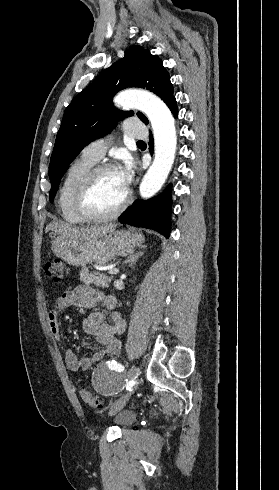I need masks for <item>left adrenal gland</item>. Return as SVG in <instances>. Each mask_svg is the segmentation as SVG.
I'll return each mask as SVG.
<instances>
[{"mask_svg":"<svg viewBox=\"0 0 279 490\" xmlns=\"http://www.w3.org/2000/svg\"><path fill=\"white\" fill-rule=\"evenodd\" d=\"M140 248H142V250H145V248H147V246H140ZM144 252H138V254H131V256H128L127 258V262L129 264V266H134V264H136L138 258H140V256H143Z\"/></svg>","mask_w":279,"mask_h":490,"instance_id":"1","label":"left adrenal gland"}]
</instances>
